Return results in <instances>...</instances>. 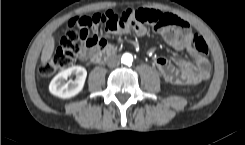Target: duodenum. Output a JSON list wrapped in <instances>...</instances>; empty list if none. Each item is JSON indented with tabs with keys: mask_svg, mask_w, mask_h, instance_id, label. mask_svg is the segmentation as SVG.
I'll use <instances>...</instances> for the list:
<instances>
[{
	"mask_svg": "<svg viewBox=\"0 0 245 145\" xmlns=\"http://www.w3.org/2000/svg\"><path fill=\"white\" fill-rule=\"evenodd\" d=\"M115 53V48L112 46H106L103 49H97L92 55V62L93 63H101L106 59L113 56Z\"/></svg>",
	"mask_w": 245,
	"mask_h": 145,
	"instance_id": "1",
	"label": "duodenum"
}]
</instances>
